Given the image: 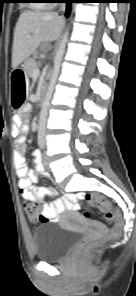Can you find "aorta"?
<instances>
[{
  "label": "aorta",
  "instance_id": "1",
  "mask_svg": "<svg viewBox=\"0 0 136 296\" xmlns=\"http://www.w3.org/2000/svg\"><path fill=\"white\" fill-rule=\"evenodd\" d=\"M69 29H67L62 37L56 55L54 57L53 69L50 76L49 85L42 103L41 112L39 115V125H38V138L41 141H44L46 135V122H47V114L50 105V100L54 91V87L60 72V67L63 59V55L65 52V47L68 41Z\"/></svg>",
  "mask_w": 136,
  "mask_h": 296
}]
</instances>
